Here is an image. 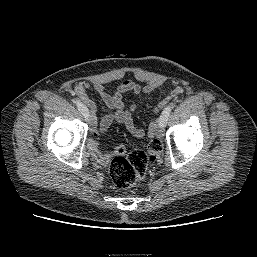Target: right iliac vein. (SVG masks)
<instances>
[{
    "mask_svg": "<svg viewBox=\"0 0 257 257\" xmlns=\"http://www.w3.org/2000/svg\"><path fill=\"white\" fill-rule=\"evenodd\" d=\"M85 119H86V121H87V122H89L90 124H92V125H93L94 116H93V114H92V113H89V112H88V115H87V116H85Z\"/></svg>",
    "mask_w": 257,
    "mask_h": 257,
    "instance_id": "1",
    "label": "right iliac vein"
}]
</instances>
